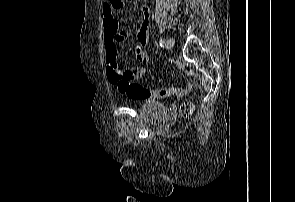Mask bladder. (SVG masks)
<instances>
[{
	"instance_id": "obj_1",
	"label": "bladder",
	"mask_w": 295,
	"mask_h": 202,
	"mask_svg": "<svg viewBox=\"0 0 295 202\" xmlns=\"http://www.w3.org/2000/svg\"><path fill=\"white\" fill-rule=\"evenodd\" d=\"M140 117L148 123H158L166 119V105L155 99H144L139 109Z\"/></svg>"
}]
</instances>
